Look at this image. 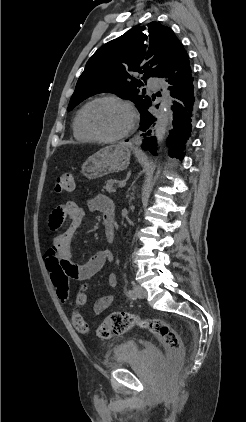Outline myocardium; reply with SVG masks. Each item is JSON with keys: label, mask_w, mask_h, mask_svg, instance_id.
<instances>
[{"label": "myocardium", "mask_w": 246, "mask_h": 422, "mask_svg": "<svg viewBox=\"0 0 246 422\" xmlns=\"http://www.w3.org/2000/svg\"><path fill=\"white\" fill-rule=\"evenodd\" d=\"M103 101H113V102L119 103L122 106H124L128 111L129 124L122 133L116 136H112V137L101 136L97 134L89 124L88 115H89L90 109L95 104L99 102H103ZM136 119H137L136 112L132 104L129 101L117 95H104V96H100L91 100L85 105L83 109V113H82V125H83L84 130L94 141L101 142V143H115L129 136L135 128Z\"/></svg>", "instance_id": "f54148a6"}]
</instances>
